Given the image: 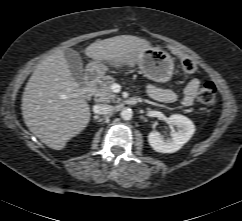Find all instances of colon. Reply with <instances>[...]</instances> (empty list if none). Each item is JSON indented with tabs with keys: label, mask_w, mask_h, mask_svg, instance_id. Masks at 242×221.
Instances as JSON below:
<instances>
[{
	"label": "colon",
	"mask_w": 242,
	"mask_h": 221,
	"mask_svg": "<svg viewBox=\"0 0 242 221\" xmlns=\"http://www.w3.org/2000/svg\"><path fill=\"white\" fill-rule=\"evenodd\" d=\"M172 53L178 58L182 70L187 74H194L197 71V65L191 57L176 50L171 49ZM217 99V88L213 82L204 83L198 92V101L205 107L214 105Z\"/></svg>",
	"instance_id": "5ec220e1"
}]
</instances>
